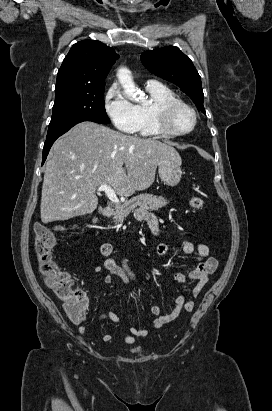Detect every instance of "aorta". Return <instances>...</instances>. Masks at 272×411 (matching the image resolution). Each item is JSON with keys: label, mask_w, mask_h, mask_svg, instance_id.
<instances>
[{"label": "aorta", "mask_w": 272, "mask_h": 411, "mask_svg": "<svg viewBox=\"0 0 272 411\" xmlns=\"http://www.w3.org/2000/svg\"><path fill=\"white\" fill-rule=\"evenodd\" d=\"M117 78L122 85L126 96L135 102L143 99V94L137 89L129 69L122 67L117 71Z\"/></svg>", "instance_id": "1"}]
</instances>
